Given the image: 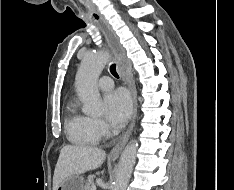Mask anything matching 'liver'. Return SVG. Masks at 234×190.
I'll return each mask as SVG.
<instances>
[{
	"label": "liver",
	"mask_w": 234,
	"mask_h": 190,
	"mask_svg": "<svg viewBox=\"0 0 234 190\" xmlns=\"http://www.w3.org/2000/svg\"><path fill=\"white\" fill-rule=\"evenodd\" d=\"M106 153L97 147L66 145L61 151L53 176V190L70 175H80L101 167Z\"/></svg>",
	"instance_id": "liver-1"
}]
</instances>
